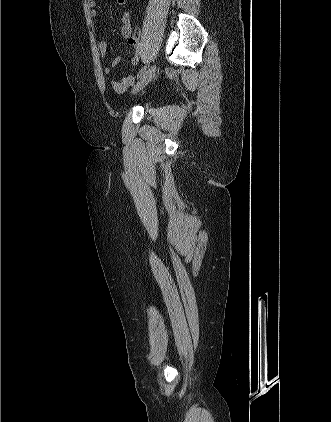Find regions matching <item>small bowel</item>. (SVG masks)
Wrapping results in <instances>:
<instances>
[{
  "label": "small bowel",
  "instance_id": "small-bowel-1",
  "mask_svg": "<svg viewBox=\"0 0 331 422\" xmlns=\"http://www.w3.org/2000/svg\"><path fill=\"white\" fill-rule=\"evenodd\" d=\"M118 6L122 10V27L121 34L127 39L128 43L136 50L135 55L132 57L131 62L137 64L140 60V37L141 33L139 29L133 31L130 19V12L126 7V0H116ZM90 6V15L92 18H97L98 11L96 10V0H88ZM98 51L101 56H106L108 53V45L105 41L98 42ZM120 59L115 57L108 65L104 67V73L106 75L111 74L112 70L119 64ZM134 82V77L131 74L124 76L121 80H111L110 84L114 92L123 93L128 89Z\"/></svg>",
  "mask_w": 331,
  "mask_h": 422
}]
</instances>
